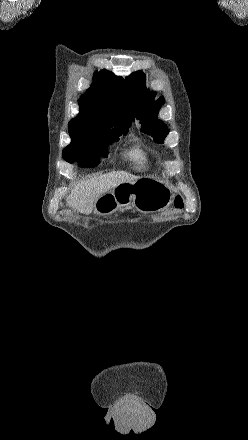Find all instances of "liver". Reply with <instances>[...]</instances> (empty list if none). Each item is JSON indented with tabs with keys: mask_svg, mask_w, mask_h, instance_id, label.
I'll use <instances>...</instances> for the list:
<instances>
[{
	"mask_svg": "<svg viewBox=\"0 0 248 440\" xmlns=\"http://www.w3.org/2000/svg\"><path fill=\"white\" fill-rule=\"evenodd\" d=\"M140 177L124 171H113L94 177L74 186L67 199L70 207L83 214H89L95 208L97 199L122 183H134Z\"/></svg>",
	"mask_w": 248,
	"mask_h": 440,
	"instance_id": "6515ba94",
	"label": "liver"
}]
</instances>
